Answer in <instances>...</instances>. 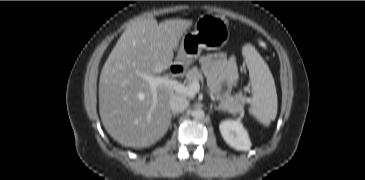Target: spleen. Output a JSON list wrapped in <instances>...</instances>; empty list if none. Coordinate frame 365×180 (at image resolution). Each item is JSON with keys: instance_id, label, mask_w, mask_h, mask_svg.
<instances>
[{"instance_id": "1", "label": "spleen", "mask_w": 365, "mask_h": 180, "mask_svg": "<svg viewBox=\"0 0 365 180\" xmlns=\"http://www.w3.org/2000/svg\"><path fill=\"white\" fill-rule=\"evenodd\" d=\"M250 83L252 86V102L249 113L265 126L275 120L278 109L275 82L268 65L251 45L244 49Z\"/></svg>"}]
</instances>
